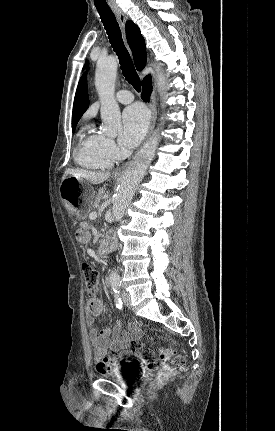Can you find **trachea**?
Wrapping results in <instances>:
<instances>
[{
	"label": "trachea",
	"instance_id": "3493384b",
	"mask_svg": "<svg viewBox=\"0 0 275 431\" xmlns=\"http://www.w3.org/2000/svg\"><path fill=\"white\" fill-rule=\"evenodd\" d=\"M97 11L107 32L110 44L119 58V63L125 79L137 92H140V78L135 70L129 52L124 45L121 30L114 13L110 8L97 7Z\"/></svg>",
	"mask_w": 275,
	"mask_h": 431
}]
</instances>
